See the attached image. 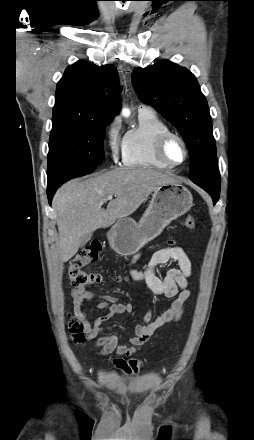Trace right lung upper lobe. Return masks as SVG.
<instances>
[{"instance_id":"cb5924a9","label":"right lung upper lobe","mask_w":254,"mask_h":440,"mask_svg":"<svg viewBox=\"0 0 254 440\" xmlns=\"http://www.w3.org/2000/svg\"><path fill=\"white\" fill-rule=\"evenodd\" d=\"M121 100L114 65L98 67L80 60L69 66L57 84L53 117L74 115L92 120H112Z\"/></svg>"}]
</instances>
